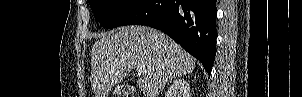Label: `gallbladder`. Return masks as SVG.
I'll return each instance as SVG.
<instances>
[{
  "label": "gallbladder",
  "mask_w": 302,
  "mask_h": 97,
  "mask_svg": "<svg viewBox=\"0 0 302 97\" xmlns=\"http://www.w3.org/2000/svg\"><path fill=\"white\" fill-rule=\"evenodd\" d=\"M133 92H134V88L131 86H128V85H120V86L115 87V89H114V93L121 95V96H126Z\"/></svg>",
  "instance_id": "1"
}]
</instances>
